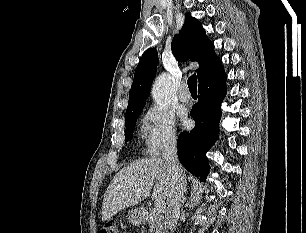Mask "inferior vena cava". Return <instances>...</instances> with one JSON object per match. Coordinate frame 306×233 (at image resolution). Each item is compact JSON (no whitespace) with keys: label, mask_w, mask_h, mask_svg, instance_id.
Segmentation results:
<instances>
[{"label":"inferior vena cava","mask_w":306,"mask_h":233,"mask_svg":"<svg viewBox=\"0 0 306 233\" xmlns=\"http://www.w3.org/2000/svg\"><path fill=\"white\" fill-rule=\"evenodd\" d=\"M163 160L171 171V187L167 196L165 218L168 228L173 231L180 215V206L184 198L186 180L185 173L179 164L175 136L167 139L163 152Z\"/></svg>","instance_id":"1"}]
</instances>
